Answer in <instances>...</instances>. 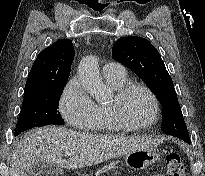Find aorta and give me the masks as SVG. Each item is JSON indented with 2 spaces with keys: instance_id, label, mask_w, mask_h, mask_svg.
Instances as JSON below:
<instances>
[{
  "instance_id": "762f6f07",
  "label": "aorta",
  "mask_w": 205,
  "mask_h": 176,
  "mask_svg": "<svg viewBox=\"0 0 205 176\" xmlns=\"http://www.w3.org/2000/svg\"><path fill=\"white\" fill-rule=\"evenodd\" d=\"M79 80L82 87L97 100L106 95V86L101 78L98 61L94 56H86L78 67Z\"/></svg>"
}]
</instances>
